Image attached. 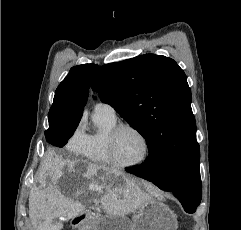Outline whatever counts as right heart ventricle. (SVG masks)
Masks as SVG:
<instances>
[{
    "instance_id": "right-heart-ventricle-1",
    "label": "right heart ventricle",
    "mask_w": 241,
    "mask_h": 230,
    "mask_svg": "<svg viewBox=\"0 0 241 230\" xmlns=\"http://www.w3.org/2000/svg\"><path fill=\"white\" fill-rule=\"evenodd\" d=\"M95 130L86 134L85 145L79 154L85 159L99 164H112L106 148L109 131L118 123L115 114L94 111Z\"/></svg>"
}]
</instances>
